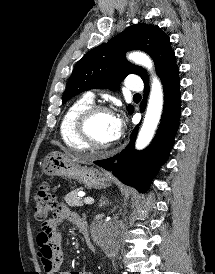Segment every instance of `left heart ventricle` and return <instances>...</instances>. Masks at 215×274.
<instances>
[{
    "mask_svg": "<svg viewBox=\"0 0 215 274\" xmlns=\"http://www.w3.org/2000/svg\"><path fill=\"white\" fill-rule=\"evenodd\" d=\"M90 131L98 143H110L116 139V132L113 125V115L109 113L97 114L91 124Z\"/></svg>",
    "mask_w": 215,
    "mask_h": 274,
    "instance_id": "left-heart-ventricle-1",
    "label": "left heart ventricle"
}]
</instances>
